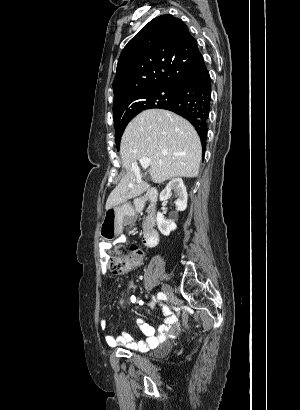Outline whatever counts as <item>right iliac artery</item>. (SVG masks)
<instances>
[{"label":"right iliac artery","instance_id":"right-iliac-artery-1","mask_svg":"<svg viewBox=\"0 0 300 410\" xmlns=\"http://www.w3.org/2000/svg\"><path fill=\"white\" fill-rule=\"evenodd\" d=\"M165 298H166V296H165L164 293L159 292V293L157 294V299H158V300L165 299Z\"/></svg>","mask_w":300,"mask_h":410}]
</instances>
